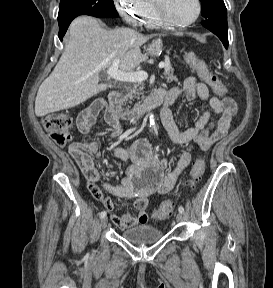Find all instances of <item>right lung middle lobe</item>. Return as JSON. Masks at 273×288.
<instances>
[{
    "label": "right lung middle lobe",
    "mask_w": 273,
    "mask_h": 288,
    "mask_svg": "<svg viewBox=\"0 0 273 288\" xmlns=\"http://www.w3.org/2000/svg\"><path fill=\"white\" fill-rule=\"evenodd\" d=\"M79 15L117 17L118 12L113 0H60L58 23Z\"/></svg>",
    "instance_id": "1"
}]
</instances>
